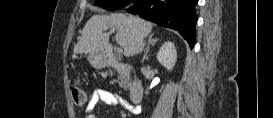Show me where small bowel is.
I'll return each instance as SVG.
<instances>
[{
	"instance_id": "1",
	"label": "small bowel",
	"mask_w": 273,
	"mask_h": 118,
	"mask_svg": "<svg viewBox=\"0 0 273 118\" xmlns=\"http://www.w3.org/2000/svg\"><path fill=\"white\" fill-rule=\"evenodd\" d=\"M99 102H103L108 105H123V106L125 105V101L119 96L113 94L112 92L108 90L99 89L95 91L93 95L90 97V99L88 100L86 104L85 112L87 114H90ZM127 109L132 114H135V115L141 113V108L138 106L128 105Z\"/></svg>"
}]
</instances>
